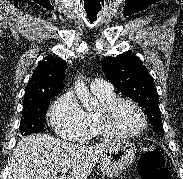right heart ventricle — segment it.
Segmentation results:
<instances>
[{
    "instance_id": "e07e8e85",
    "label": "right heart ventricle",
    "mask_w": 183,
    "mask_h": 179,
    "mask_svg": "<svg viewBox=\"0 0 183 179\" xmlns=\"http://www.w3.org/2000/svg\"><path fill=\"white\" fill-rule=\"evenodd\" d=\"M93 93L101 105L116 97L113 90L109 91V92H93ZM86 115H87V119L90 124V135L101 134V132L97 126V123H96V112H88V113H86Z\"/></svg>"
}]
</instances>
